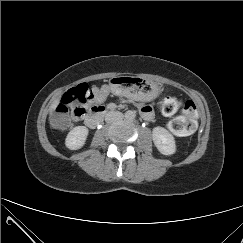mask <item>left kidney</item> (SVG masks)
I'll use <instances>...</instances> for the list:
<instances>
[{
	"instance_id": "obj_1",
	"label": "left kidney",
	"mask_w": 243,
	"mask_h": 243,
	"mask_svg": "<svg viewBox=\"0 0 243 243\" xmlns=\"http://www.w3.org/2000/svg\"><path fill=\"white\" fill-rule=\"evenodd\" d=\"M152 139L158 151L163 155H173L176 145L173 135L163 127L153 128Z\"/></svg>"
}]
</instances>
